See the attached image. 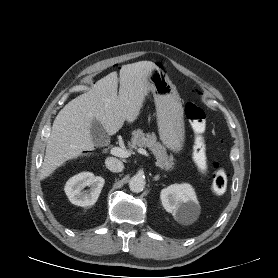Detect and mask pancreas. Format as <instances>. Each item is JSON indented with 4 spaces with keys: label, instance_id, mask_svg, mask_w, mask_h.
<instances>
[{
    "label": "pancreas",
    "instance_id": "obj_1",
    "mask_svg": "<svg viewBox=\"0 0 278 278\" xmlns=\"http://www.w3.org/2000/svg\"><path fill=\"white\" fill-rule=\"evenodd\" d=\"M132 149L147 147L154 154L157 162L156 165L165 171H170L174 167V158L168 156L165 147L157 141L155 134H145L138 129L132 132L131 143Z\"/></svg>",
    "mask_w": 278,
    "mask_h": 278
}]
</instances>
